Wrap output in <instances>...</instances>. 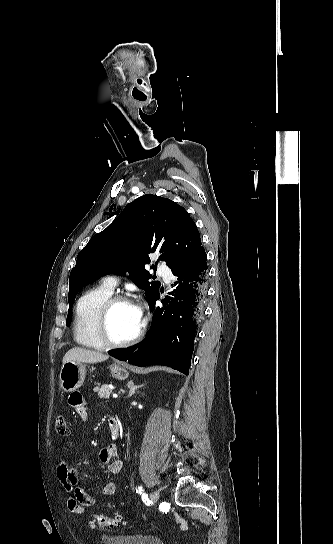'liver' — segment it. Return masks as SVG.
I'll return each instance as SVG.
<instances>
[{
  "mask_svg": "<svg viewBox=\"0 0 333 544\" xmlns=\"http://www.w3.org/2000/svg\"><path fill=\"white\" fill-rule=\"evenodd\" d=\"M109 358L108 355L101 352L88 350L81 347H74L66 352L63 357V364L69 361H77L81 363L94 364L105 361Z\"/></svg>",
  "mask_w": 333,
  "mask_h": 544,
  "instance_id": "liver-1",
  "label": "liver"
}]
</instances>
